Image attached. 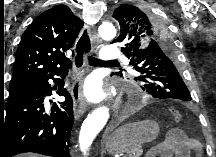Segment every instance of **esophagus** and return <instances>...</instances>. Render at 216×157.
Masks as SVG:
<instances>
[{
    "label": "esophagus",
    "instance_id": "1",
    "mask_svg": "<svg viewBox=\"0 0 216 157\" xmlns=\"http://www.w3.org/2000/svg\"><path fill=\"white\" fill-rule=\"evenodd\" d=\"M86 31L88 32L89 35V40H90V45L86 46V50L82 51L77 48L78 42L80 41L81 37L79 38L76 47H75V59L73 63V68L76 73L84 66L85 64V55L91 54L95 47L96 43L98 41V36L97 34L90 29L89 26H85ZM72 98H73V107H74V112L77 116L82 115L87 107V102L86 99L83 95L82 91V85L81 82H75L72 86Z\"/></svg>",
    "mask_w": 216,
    "mask_h": 157
}]
</instances>
